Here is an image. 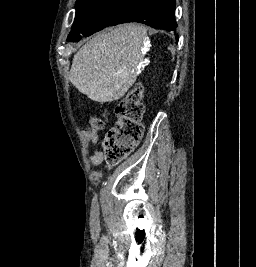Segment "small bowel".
I'll return each mask as SVG.
<instances>
[{"label":"small bowel","mask_w":256,"mask_h":267,"mask_svg":"<svg viewBox=\"0 0 256 267\" xmlns=\"http://www.w3.org/2000/svg\"><path fill=\"white\" fill-rule=\"evenodd\" d=\"M92 140L95 142V143H99V137L98 135L96 134H93L92 135ZM91 163L94 164V165H99V164H102L104 163V156L101 152V150H97L95 155L93 156V158L91 159ZM110 169L109 166L105 167L104 171H108Z\"/></svg>","instance_id":"1"}]
</instances>
